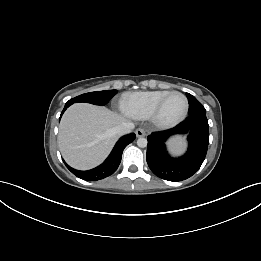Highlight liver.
<instances>
[{
	"label": "liver",
	"instance_id": "1",
	"mask_svg": "<svg viewBox=\"0 0 261 261\" xmlns=\"http://www.w3.org/2000/svg\"><path fill=\"white\" fill-rule=\"evenodd\" d=\"M126 119L105 108L87 103L70 106L59 127L58 143L65 161L75 169L101 164L113 148L115 127Z\"/></svg>",
	"mask_w": 261,
	"mask_h": 261
}]
</instances>
